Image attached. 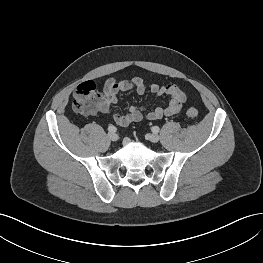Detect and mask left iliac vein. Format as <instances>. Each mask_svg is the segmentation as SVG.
Returning <instances> with one entry per match:
<instances>
[{
	"mask_svg": "<svg viewBox=\"0 0 263 263\" xmlns=\"http://www.w3.org/2000/svg\"><path fill=\"white\" fill-rule=\"evenodd\" d=\"M148 139H149L151 142L156 143V142H158V141L160 140V137H159V135L153 133V134H149V135H148Z\"/></svg>",
	"mask_w": 263,
	"mask_h": 263,
	"instance_id": "left-iliac-vein-1",
	"label": "left iliac vein"
}]
</instances>
